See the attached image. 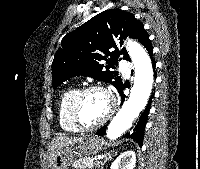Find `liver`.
I'll list each match as a JSON object with an SVG mask.
<instances>
[{
	"mask_svg": "<svg viewBox=\"0 0 200 169\" xmlns=\"http://www.w3.org/2000/svg\"><path fill=\"white\" fill-rule=\"evenodd\" d=\"M84 139V137H69V136H56L50 144L49 148V161L54 157L56 152L60 150L63 147H67L70 145H74L78 142H81Z\"/></svg>",
	"mask_w": 200,
	"mask_h": 169,
	"instance_id": "1",
	"label": "liver"
}]
</instances>
